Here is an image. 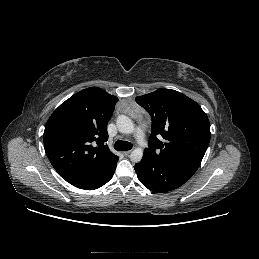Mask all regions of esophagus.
<instances>
[{
	"instance_id": "esophagus-1",
	"label": "esophagus",
	"mask_w": 259,
	"mask_h": 259,
	"mask_svg": "<svg viewBox=\"0 0 259 259\" xmlns=\"http://www.w3.org/2000/svg\"><path fill=\"white\" fill-rule=\"evenodd\" d=\"M130 153H131V151L129 150V151H124L123 152V154L125 155V156H129L130 155Z\"/></svg>"
}]
</instances>
